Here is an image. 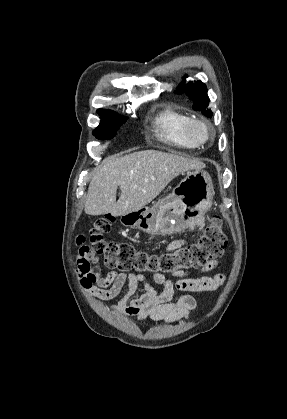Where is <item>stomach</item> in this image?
I'll use <instances>...</instances> for the list:
<instances>
[{
  "label": "stomach",
  "instance_id": "0dacf381",
  "mask_svg": "<svg viewBox=\"0 0 287 419\" xmlns=\"http://www.w3.org/2000/svg\"><path fill=\"white\" fill-rule=\"evenodd\" d=\"M214 188L211 176L194 170L152 207L121 215L120 222L149 235H171L195 226L211 207Z\"/></svg>",
  "mask_w": 287,
  "mask_h": 419
}]
</instances>
